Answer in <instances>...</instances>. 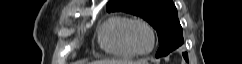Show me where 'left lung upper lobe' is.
<instances>
[{
    "label": "left lung upper lobe",
    "mask_w": 242,
    "mask_h": 64,
    "mask_svg": "<svg viewBox=\"0 0 242 64\" xmlns=\"http://www.w3.org/2000/svg\"><path fill=\"white\" fill-rule=\"evenodd\" d=\"M107 11H124L149 22L159 38L157 58L168 55L184 42L177 9L172 0H110Z\"/></svg>",
    "instance_id": "left-lung-upper-lobe-1"
}]
</instances>
